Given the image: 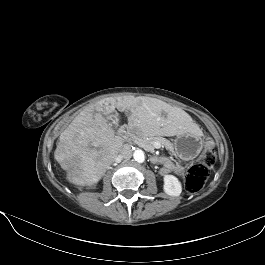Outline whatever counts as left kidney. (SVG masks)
Returning <instances> with one entry per match:
<instances>
[{
	"instance_id": "1",
	"label": "left kidney",
	"mask_w": 265,
	"mask_h": 265,
	"mask_svg": "<svg viewBox=\"0 0 265 265\" xmlns=\"http://www.w3.org/2000/svg\"><path fill=\"white\" fill-rule=\"evenodd\" d=\"M164 192L170 196H179L182 192L180 181L173 175L164 176Z\"/></svg>"
}]
</instances>
